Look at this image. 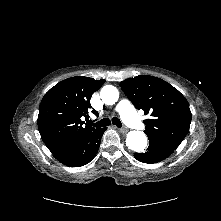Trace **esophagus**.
<instances>
[{"label":"esophagus","mask_w":221,"mask_h":221,"mask_svg":"<svg viewBox=\"0 0 221 221\" xmlns=\"http://www.w3.org/2000/svg\"><path fill=\"white\" fill-rule=\"evenodd\" d=\"M119 130L122 133H127L128 132V129L126 127H121V128H119Z\"/></svg>","instance_id":"34e87169"}]
</instances>
